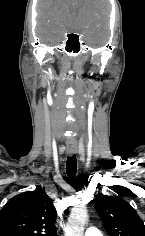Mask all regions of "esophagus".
<instances>
[{"label":"esophagus","instance_id":"1","mask_svg":"<svg viewBox=\"0 0 145 236\" xmlns=\"http://www.w3.org/2000/svg\"><path fill=\"white\" fill-rule=\"evenodd\" d=\"M77 151V146L75 144H69L67 146V154L69 156H72L73 154H75Z\"/></svg>","mask_w":145,"mask_h":236}]
</instances>
